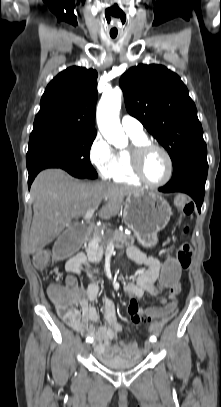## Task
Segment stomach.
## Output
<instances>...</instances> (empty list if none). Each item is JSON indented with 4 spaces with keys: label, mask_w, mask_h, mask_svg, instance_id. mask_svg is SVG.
<instances>
[{
    "label": "stomach",
    "mask_w": 221,
    "mask_h": 407,
    "mask_svg": "<svg viewBox=\"0 0 221 407\" xmlns=\"http://www.w3.org/2000/svg\"><path fill=\"white\" fill-rule=\"evenodd\" d=\"M171 215L168 202L155 192L141 190L127 195L123 220L144 247L157 243V234L166 227Z\"/></svg>",
    "instance_id": "stomach-1"
}]
</instances>
